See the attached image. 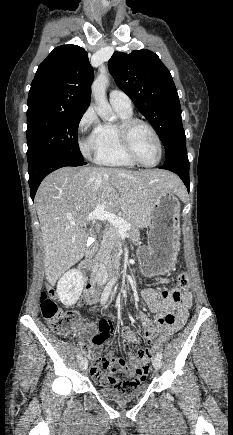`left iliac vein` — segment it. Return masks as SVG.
I'll return each mask as SVG.
<instances>
[{"mask_svg":"<svg viewBox=\"0 0 233 435\" xmlns=\"http://www.w3.org/2000/svg\"><path fill=\"white\" fill-rule=\"evenodd\" d=\"M152 364L156 370L161 368V358L158 356L153 357Z\"/></svg>","mask_w":233,"mask_h":435,"instance_id":"obj_1","label":"left iliac vein"}]
</instances>
